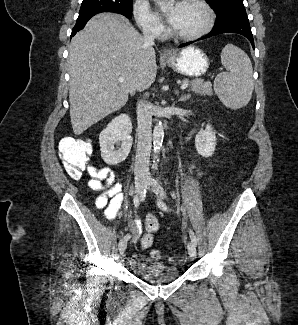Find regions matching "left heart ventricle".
Returning a JSON list of instances; mask_svg holds the SVG:
<instances>
[{
	"label": "left heart ventricle",
	"instance_id": "b2bd125f",
	"mask_svg": "<svg viewBox=\"0 0 298 325\" xmlns=\"http://www.w3.org/2000/svg\"><path fill=\"white\" fill-rule=\"evenodd\" d=\"M178 4V9L170 27L177 33L189 34L197 31L204 23L201 10L191 1L183 0Z\"/></svg>",
	"mask_w": 298,
	"mask_h": 325
}]
</instances>
